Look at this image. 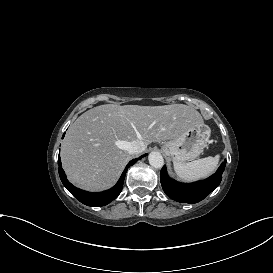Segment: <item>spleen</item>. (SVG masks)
<instances>
[{
  "mask_svg": "<svg viewBox=\"0 0 273 273\" xmlns=\"http://www.w3.org/2000/svg\"><path fill=\"white\" fill-rule=\"evenodd\" d=\"M221 154L214 157L199 159L189 163L173 161V170L177 177L186 182H195L212 175L217 169Z\"/></svg>",
  "mask_w": 273,
  "mask_h": 273,
  "instance_id": "obj_1",
  "label": "spleen"
}]
</instances>
